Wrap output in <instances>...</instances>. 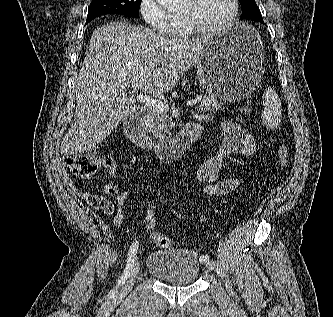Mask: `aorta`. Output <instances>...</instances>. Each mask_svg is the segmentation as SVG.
<instances>
[{
    "label": "aorta",
    "instance_id": "1",
    "mask_svg": "<svg viewBox=\"0 0 333 317\" xmlns=\"http://www.w3.org/2000/svg\"><path fill=\"white\" fill-rule=\"evenodd\" d=\"M164 8L171 10L178 7L183 0H156Z\"/></svg>",
    "mask_w": 333,
    "mask_h": 317
}]
</instances>
